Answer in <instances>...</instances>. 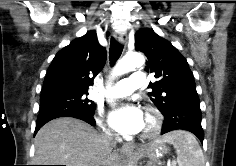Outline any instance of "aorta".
I'll return each instance as SVG.
<instances>
[{
	"label": "aorta",
	"mask_w": 236,
	"mask_h": 166,
	"mask_svg": "<svg viewBox=\"0 0 236 166\" xmlns=\"http://www.w3.org/2000/svg\"><path fill=\"white\" fill-rule=\"evenodd\" d=\"M144 63L145 59L139 53L126 55L117 63V65L113 69V76L122 75L130 71H133L137 68H141L144 65ZM106 97L109 102L113 101V96L110 89H108Z\"/></svg>",
	"instance_id": "aorta-1"
}]
</instances>
